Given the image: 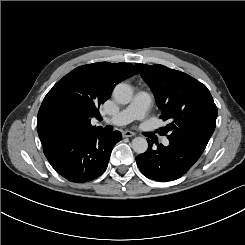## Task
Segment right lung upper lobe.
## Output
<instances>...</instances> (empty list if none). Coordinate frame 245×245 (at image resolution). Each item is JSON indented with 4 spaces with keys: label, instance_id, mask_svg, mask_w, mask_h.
<instances>
[{
    "label": "right lung upper lobe",
    "instance_id": "1",
    "mask_svg": "<svg viewBox=\"0 0 245 245\" xmlns=\"http://www.w3.org/2000/svg\"><path fill=\"white\" fill-rule=\"evenodd\" d=\"M138 74L130 63L99 62L75 68L45 96L37 117L43 146L55 139L95 130L91 118L121 81Z\"/></svg>",
    "mask_w": 245,
    "mask_h": 245
}]
</instances>
